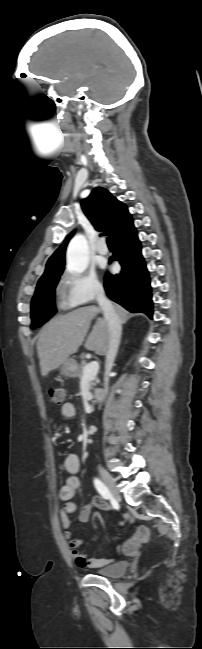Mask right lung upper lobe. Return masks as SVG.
<instances>
[{
    "label": "right lung upper lobe",
    "mask_w": 202,
    "mask_h": 649,
    "mask_svg": "<svg viewBox=\"0 0 202 649\" xmlns=\"http://www.w3.org/2000/svg\"><path fill=\"white\" fill-rule=\"evenodd\" d=\"M84 214L97 231H106L114 240L134 229L133 219L125 204L117 200L102 187H96L91 194L81 201ZM74 232L67 236L64 243L48 259L43 276L62 272L65 265V251Z\"/></svg>",
    "instance_id": "right-lung-upper-lobe-1"
}]
</instances>
